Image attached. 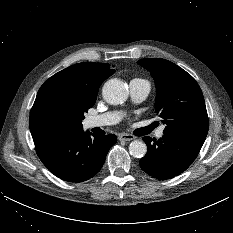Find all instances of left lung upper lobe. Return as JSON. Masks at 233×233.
Returning <instances> with one entry per match:
<instances>
[{
	"mask_svg": "<svg viewBox=\"0 0 233 233\" xmlns=\"http://www.w3.org/2000/svg\"><path fill=\"white\" fill-rule=\"evenodd\" d=\"M156 84V113L166 124L164 133L207 136L209 121L202 91L195 79L176 64L159 58L141 59Z\"/></svg>",
	"mask_w": 233,
	"mask_h": 233,
	"instance_id": "1",
	"label": "left lung upper lobe"
}]
</instances>
